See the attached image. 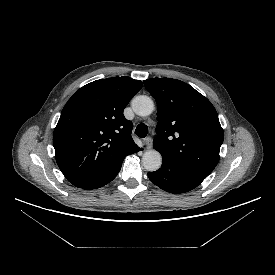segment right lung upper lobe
I'll list each match as a JSON object with an SVG mask.
<instances>
[{"label":"right lung upper lobe","instance_id":"1","mask_svg":"<svg viewBox=\"0 0 275 275\" xmlns=\"http://www.w3.org/2000/svg\"><path fill=\"white\" fill-rule=\"evenodd\" d=\"M141 88L140 80L127 76L100 79L68 100L53 145L60 170L74 186L82 188L108 176L139 150L123 110Z\"/></svg>","mask_w":275,"mask_h":275}]
</instances>
